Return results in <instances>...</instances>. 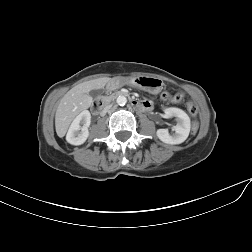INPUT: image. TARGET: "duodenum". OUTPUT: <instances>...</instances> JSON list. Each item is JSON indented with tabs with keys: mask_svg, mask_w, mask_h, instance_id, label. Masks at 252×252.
Wrapping results in <instances>:
<instances>
[{
	"mask_svg": "<svg viewBox=\"0 0 252 252\" xmlns=\"http://www.w3.org/2000/svg\"><path fill=\"white\" fill-rule=\"evenodd\" d=\"M119 84L116 81H111L108 85L109 91H114ZM131 105L137 109L142 110L143 109V104L142 102L132 99L130 101ZM93 110L95 114H101L104 112L105 107L101 101H96L93 105Z\"/></svg>",
	"mask_w": 252,
	"mask_h": 252,
	"instance_id": "duodenum-1",
	"label": "duodenum"
}]
</instances>
